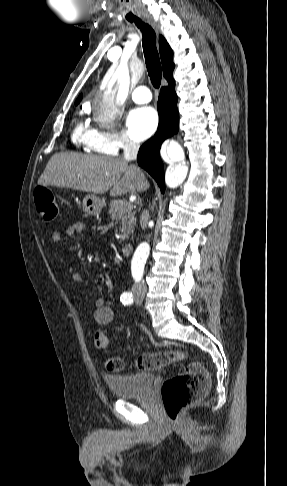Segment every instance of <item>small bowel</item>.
I'll return each mask as SVG.
<instances>
[{
    "label": "small bowel",
    "mask_w": 287,
    "mask_h": 486,
    "mask_svg": "<svg viewBox=\"0 0 287 486\" xmlns=\"http://www.w3.org/2000/svg\"><path fill=\"white\" fill-rule=\"evenodd\" d=\"M86 229V225L82 222H76L72 225L68 226L63 233L62 231H55L51 235V239L54 243L58 244L61 243L63 240L64 235L73 236L77 233H80ZM71 278L76 283H82L83 278L78 272H71ZM93 305L95 307L94 310V319L97 324L99 325H108L114 319V312L113 310L105 305L104 299L102 296L96 295L93 297Z\"/></svg>",
    "instance_id": "c3829d8e"
}]
</instances>
